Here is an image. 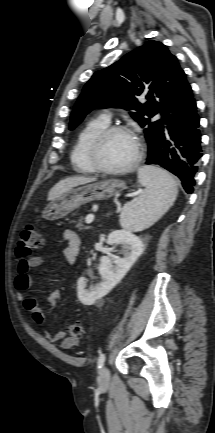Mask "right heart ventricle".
<instances>
[{"label": "right heart ventricle", "mask_w": 215, "mask_h": 433, "mask_svg": "<svg viewBox=\"0 0 215 433\" xmlns=\"http://www.w3.org/2000/svg\"><path fill=\"white\" fill-rule=\"evenodd\" d=\"M107 126H109V120L100 116L88 121L79 132L71 152V163L75 171L79 173L95 172L88 160V146L94 136Z\"/></svg>", "instance_id": "obj_1"}]
</instances>
